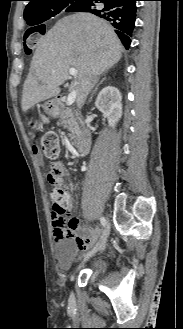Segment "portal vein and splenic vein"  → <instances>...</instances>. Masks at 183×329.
Instances as JSON below:
<instances>
[{
	"instance_id": "18ae733b",
	"label": "portal vein and splenic vein",
	"mask_w": 183,
	"mask_h": 329,
	"mask_svg": "<svg viewBox=\"0 0 183 329\" xmlns=\"http://www.w3.org/2000/svg\"><path fill=\"white\" fill-rule=\"evenodd\" d=\"M69 73L71 75H73L74 77H77L78 76V71L75 69V68H70L69 69ZM77 85H79V82H75L74 83V86L76 87ZM77 92H78V89L77 87L71 91L67 97V101H66V104L67 105H72L77 97Z\"/></svg>"
}]
</instances>
